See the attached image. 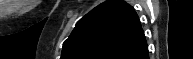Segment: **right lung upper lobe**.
I'll list each match as a JSON object with an SVG mask.
<instances>
[{"instance_id": "cb5924a9", "label": "right lung upper lobe", "mask_w": 193, "mask_h": 59, "mask_svg": "<svg viewBox=\"0 0 193 59\" xmlns=\"http://www.w3.org/2000/svg\"><path fill=\"white\" fill-rule=\"evenodd\" d=\"M146 45L133 7L122 0H109L77 22L60 59H127Z\"/></svg>"}]
</instances>
